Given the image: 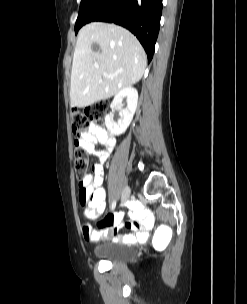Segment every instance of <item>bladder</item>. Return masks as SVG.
Segmentation results:
<instances>
[{"mask_svg":"<svg viewBox=\"0 0 247 304\" xmlns=\"http://www.w3.org/2000/svg\"><path fill=\"white\" fill-rule=\"evenodd\" d=\"M95 257L112 264L129 261L134 256L131 246L118 242H108L96 248Z\"/></svg>","mask_w":247,"mask_h":304,"instance_id":"obj_1","label":"bladder"}]
</instances>
